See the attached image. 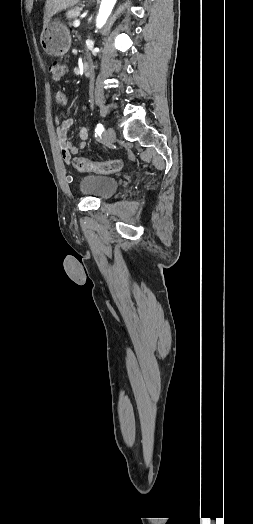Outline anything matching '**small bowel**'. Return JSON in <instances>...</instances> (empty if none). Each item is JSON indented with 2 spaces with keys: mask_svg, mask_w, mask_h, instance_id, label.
Here are the masks:
<instances>
[{
  "mask_svg": "<svg viewBox=\"0 0 253 524\" xmlns=\"http://www.w3.org/2000/svg\"><path fill=\"white\" fill-rule=\"evenodd\" d=\"M55 98H56V101L61 105H66L69 102L68 96L61 90L56 92ZM55 122L58 124L56 132H57V137H58V141H59L60 148H61L62 158L67 164H71L72 155L77 154L79 149H84L86 147V142L88 139V128L86 126H83L80 128V131H79L80 142L78 145H76L73 142L69 141L67 138L68 130L73 125V119L66 118L64 120H61L60 117L57 116L55 118Z\"/></svg>",
  "mask_w": 253,
  "mask_h": 524,
  "instance_id": "obj_1",
  "label": "small bowel"
}]
</instances>
